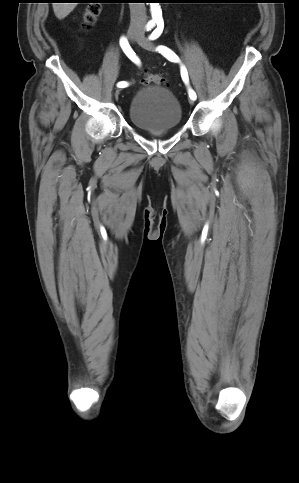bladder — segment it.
<instances>
[{
  "label": "bladder",
  "mask_w": 299,
  "mask_h": 483,
  "mask_svg": "<svg viewBox=\"0 0 299 483\" xmlns=\"http://www.w3.org/2000/svg\"><path fill=\"white\" fill-rule=\"evenodd\" d=\"M132 124L145 131H167L181 122V106L173 93L162 85H149L135 92L129 108Z\"/></svg>",
  "instance_id": "bladder-1"
}]
</instances>
